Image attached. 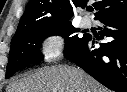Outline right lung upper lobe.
Segmentation results:
<instances>
[{"instance_id":"cb5924a9","label":"right lung upper lobe","mask_w":127,"mask_h":92,"mask_svg":"<svg viewBox=\"0 0 127 92\" xmlns=\"http://www.w3.org/2000/svg\"><path fill=\"white\" fill-rule=\"evenodd\" d=\"M89 0H30L21 17L17 31L12 39L36 26H59L71 23L72 4L84 8ZM95 19L127 8V0H96Z\"/></svg>"}]
</instances>
